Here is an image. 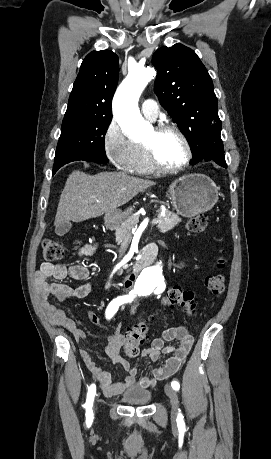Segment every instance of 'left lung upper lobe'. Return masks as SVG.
<instances>
[{
	"mask_svg": "<svg viewBox=\"0 0 271 459\" xmlns=\"http://www.w3.org/2000/svg\"><path fill=\"white\" fill-rule=\"evenodd\" d=\"M152 63L158 72L154 91L188 140L191 163H198L221 133L212 79L196 53L180 43L159 48Z\"/></svg>",
	"mask_w": 271,
	"mask_h": 459,
	"instance_id": "1",
	"label": "left lung upper lobe"
}]
</instances>
